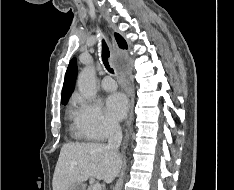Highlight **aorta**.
I'll list each match as a JSON object with an SVG mask.
<instances>
[{
  "label": "aorta",
  "mask_w": 234,
  "mask_h": 190,
  "mask_svg": "<svg viewBox=\"0 0 234 190\" xmlns=\"http://www.w3.org/2000/svg\"><path fill=\"white\" fill-rule=\"evenodd\" d=\"M77 85L80 93L86 99H93L96 95L95 70L93 67H85L78 76Z\"/></svg>",
  "instance_id": "1"
}]
</instances>
